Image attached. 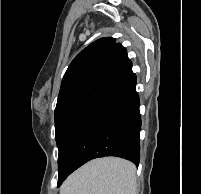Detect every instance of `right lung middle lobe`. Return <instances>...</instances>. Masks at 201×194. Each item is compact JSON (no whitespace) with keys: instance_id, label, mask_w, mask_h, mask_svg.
Returning <instances> with one entry per match:
<instances>
[{"instance_id":"obj_1","label":"right lung middle lobe","mask_w":201,"mask_h":194,"mask_svg":"<svg viewBox=\"0 0 201 194\" xmlns=\"http://www.w3.org/2000/svg\"><path fill=\"white\" fill-rule=\"evenodd\" d=\"M94 98L83 97L68 101L55 109L56 142L59 146L66 128L75 115Z\"/></svg>"}]
</instances>
